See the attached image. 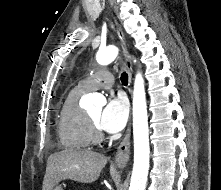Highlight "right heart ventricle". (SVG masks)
I'll return each instance as SVG.
<instances>
[{
	"mask_svg": "<svg viewBox=\"0 0 221 190\" xmlns=\"http://www.w3.org/2000/svg\"><path fill=\"white\" fill-rule=\"evenodd\" d=\"M85 92L80 85L72 88L61 106L58 135L62 146L68 150L85 149L91 142L87 114L79 105V99Z\"/></svg>",
	"mask_w": 221,
	"mask_h": 190,
	"instance_id": "right-heart-ventricle-1",
	"label": "right heart ventricle"
}]
</instances>
